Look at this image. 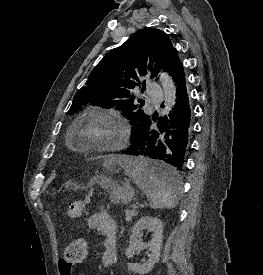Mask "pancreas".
Listing matches in <instances>:
<instances>
[{
	"label": "pancreas",
	"mask_w": 263,
	"mask_h": 275,
	"mask_svg": "<svg viewBox=\"0 0 263 275\" xmlns=\"http://www.w3.org/2000/svg\"><path fill=\"white\" fill-rule=\"evenodd\" d=\"M138 214L137 211L135 210H126L125 211V217H126V221H130L132 219V217L136 216Z\"/></svg>",
	"instance_id": "obj_1"
}]
</instances>
